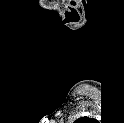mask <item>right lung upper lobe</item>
<instances>
[{
  "mask_svg": "<svg viewBox=\"0 0 124 123\" xmlns=\"http://www.w3.org/2000/svg\"><path fill=\"white\" fill-rule=\"evenodd\" d=\"M87 118L86 117H83V118H80L78 120H82V121H85Z\"/></svg>",
  "mask_w": 124,
  "mask_h": 123,
  "instance_id": "cb5924a9",
  "label": "right lung upper lobe"
}]
</instances>
